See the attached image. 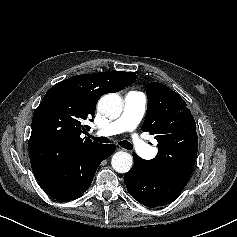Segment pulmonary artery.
Instances as JSON below:
<instances>
[{
	"instance_id": "pulmonary-artery-1",
	"label": "pulmonary artery",
	"mask_w": 237,
	"mask_h": 237,
	"mask_svg": "<svg viewBox=\"0 0 237 237\" xmlns=\"http://www.w3.org/2000/svg\"><path fill=\"white\" fill-rule=\"evenodd\" d=\"M147 100L143 93L130 91L124 99V107L121 116L114 122L100 127L96 134L110 136L124 131H133L142 120L146 110ZM136 152L145 158H153L156 150L146 144L142 139L134 136Z\"/></svg>"
}]
</instances>
